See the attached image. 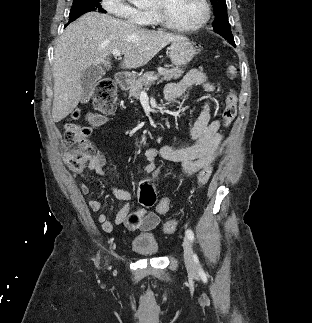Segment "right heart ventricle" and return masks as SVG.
<instances>
[{"label": "right heart ventricle", "mask_w": 312, "mask_h": 323, "mask_svg": "<svg viewBox=\"0 0 312 323\" xmlns=\"http://www.w3.org/2000/svg\"><path fill=\"white\" fill-rule=\"evenodd\" d=\"M159 19L158 13H150L148 9H145L141 13V20H143L144 25H155L156 20Z\"/></svg>", "instance_id": "right-heart-ventricle-1"}]
</instances>
